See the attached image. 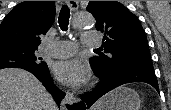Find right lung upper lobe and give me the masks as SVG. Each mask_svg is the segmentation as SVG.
I'll list each match as a JSON object with an SVG mask.
<instances>
[{
	"label": "right lung upper lobe",
	"instance_id": "obj_1",
	"mask_svg": "<svg viewBox=\"0 0 171 110\" xmlns=\"http://www.w3.org/2000/svg\"><path fill=\"white\" fill-rule=\"evenodd\" d=\"M55 18V1H24L0 24V45L38 48Z\"/></svg>",
	"mask_w": 171,
	"mask_h": 110
}]
</instances>
